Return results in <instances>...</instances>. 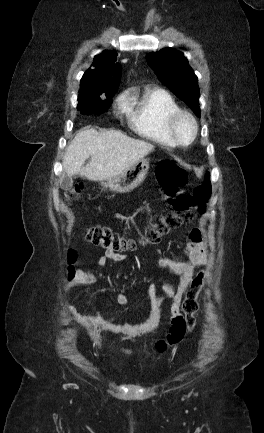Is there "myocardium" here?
Returning <instances> with one entry per match:
<instances>
[{
  "label": "myocardium",
  "instance_id": "obj_1",
  "mask_svg": "<svg viewBox=\"0 0 264 433\" xmlns=\"http://www.w3.org/2000/svg\"><path fill=\"white\" fill-rule=\"evenodd\" d=\"M181 119H187L190 121L193 127V133L191 138L188 141H183L179 135L177 134L176 127L178 122ZM166 130L171 137V139L174 141L176 145L179 146H188L192 144L195 139L197 138L198 132H199V126L196 118L188 111L186 110H176L173 113H171L166 120Z\"/></svg>",
  "mask_w": 264,
  "mask_h": 433
}]
</instances>
